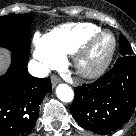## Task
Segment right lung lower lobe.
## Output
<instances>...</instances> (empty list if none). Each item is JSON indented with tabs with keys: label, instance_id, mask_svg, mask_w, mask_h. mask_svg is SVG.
I'll return each instance as SVG.
<instances>
[{
	"label": "right lung lower lobe",
	"instance_id": "right-lung-lower-lobe-1",
	"mask_svg": "<svg viewBox=\"0 0 136 136\" xmlns=\"http://www.w3.org/2000/svg\"><path fill=\"white\" fill-rule=\"evenodd\" d=\"M10 51L11 65L0 77V136H26L33 129L39 105L52 86L49 78H35L28 73V52Z\"/></svg>",
	"mask_w": 136,
	"mask_h": 136
}]
</instances>
